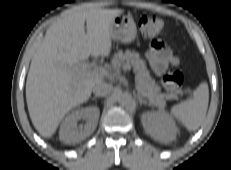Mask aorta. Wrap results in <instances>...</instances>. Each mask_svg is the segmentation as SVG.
<instances>
[{"label": "aorta", "mask_w": 231, "mask_h": 170, "mask_svg": "<svg viewBox=\"0 0 231 170\" xmlns=\"http://www.w3.org/2000/svg\"><path fill=\"white\" fill-rule=\"evenodd\" d=\"M117 100L121 105L127 106L131 104L132 97L128 93H121L118 95Z\"/></svg>", "instance_id": "762f6f07"}]
</instances>
